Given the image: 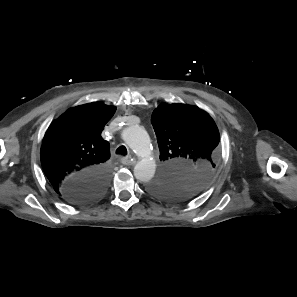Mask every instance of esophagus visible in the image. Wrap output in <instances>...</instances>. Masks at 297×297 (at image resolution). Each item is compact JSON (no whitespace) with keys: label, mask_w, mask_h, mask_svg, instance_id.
Wrapping results in <instances>:
<instances>
[{"label":"esophagus","mask_w":297,"mask_h":297,"mask_svg":"<svg viewBox=\"0 0 297 297\" xmlns=\"http://www.w3.org/2000/svg\"><path fill=\"white\" fill-rule=\"evenodd\" d=\"M121 163L124 165H133L135 161L129 157H123L121 158Z\"/></svg>","instance_id":"obj_1"}]
</instances>
